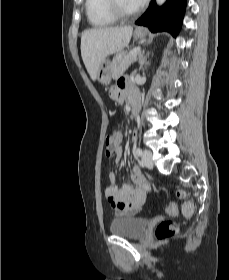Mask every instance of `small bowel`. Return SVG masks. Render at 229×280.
<instances>
[{"instance_id": "1", "label": "small bowel", "mask_w": 229, "mask_h": 280, "mask_svg": "<svg viewBox=\"0 0 229 280\" xmlns=\"http://www.w3.org/2000/svg\"><path fill=\"white\" fill-rule=\"evenodd\" d=\"M109 96L112 100L123 103L132 93L139 92L131 83L129 76L120 77L117 83L109 88ZM115 162L121 163L123 160V152L121 147H117L115 152ZM130 180L135 184V187L127 183L121 185L116 184V177L113 172L108 174V185L105 193L108 202L117 217L133 216L140 212L144 204L145 198L149 193V183L143 177L138 166H133L129 172ZM130 200L131 203L124 206L123 201Z\"/></svg>"}]
</instances>
